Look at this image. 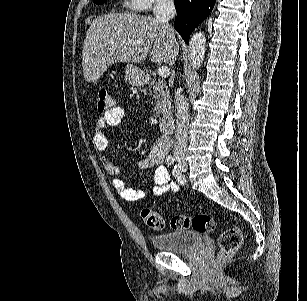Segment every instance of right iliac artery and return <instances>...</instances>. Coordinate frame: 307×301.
Listing matches in <instances>:
<instances>
[{"instance_id": "1", "label": "right iliac artery", "mask_w": 307, "mask_h": 301, "mask_svg": "<svg viewBox=\"0 0 307 301\" xmlns=\"http://www.w3.org/2000/svg\"><path fill=\"white\" fill-rule=\"evenodd\" d=\"M174 161H175V157L172 156V155H169V156L166 158V162H167L168 165L173 164Z\"/></svg>"}]
</instances>
